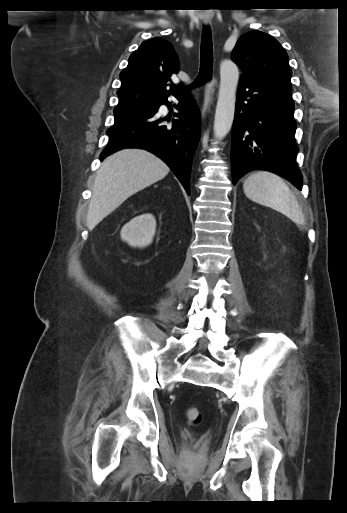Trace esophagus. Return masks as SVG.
Listing matches in <instances>:
<instances>
[{"mask_svg": "<svg viewBox=\"0 0 347 513\" xmlns=\"http://www.w3.org/2000/svg\"><path fill=\"white\" fill-rule=\"evenodd\" d=\"M205 24L210 25L211 21L206 20ZM217 84H218V80L215 75L212 77V79L210 81H208L205 84L204 102H203V113L204 114L209 111L210 106L213 103V100H214L213 92H214L215 88L217 87Z\"/></svg>", "mask_w": 347, "mask_h": 513, "instance_id": "obj_1", "label": "esophagus"}]
</instances>
